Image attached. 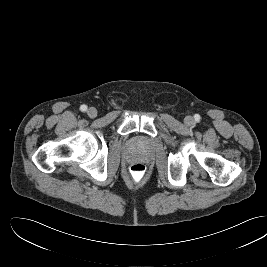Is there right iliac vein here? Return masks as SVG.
Returning a JSON list of instances; mask_svg holds the SVG:
<instances>
[{
	"instance_id": "1",
	"label": "right iliac vein",
	"mask_w": 267,
	"mask_h": 267,
	"mask_svg": "<svg viewBox=\"0 0 267 267\" xmlns=\"http://www.w3.org/2000/svg\"><path fill=\"white\" fill-rule=\"evenodd\" d=\"M87 115L90 117V118H95L97 116V110L96 108L94 107H90L88 110H87Z\"/></svg>"
}]
</instances>
